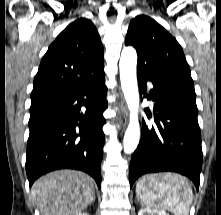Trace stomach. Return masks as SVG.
Returning a JSON list of instances; mask_svg holds the SVG:
<instances>
[{"label":"stomach","mask_w":221,"mask_h":215,"mask_svg":"<svg viewBox=\"0 0 221 215\" xmlns=\"http://www.w3.org/2000/svg\"><path fill=\"white\" fill-rule=\"evenodd\" d=\"M163 175L164 174H155V175L146 176L145 178L150 181V179L153 177L155 181H157V180L162 179Z\"/></svg>","instance_id":"0dacf381"}]
</instances>
